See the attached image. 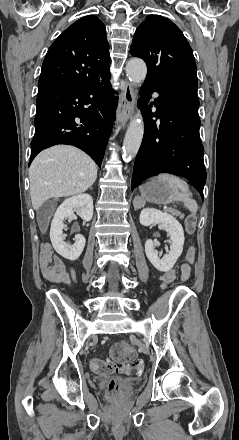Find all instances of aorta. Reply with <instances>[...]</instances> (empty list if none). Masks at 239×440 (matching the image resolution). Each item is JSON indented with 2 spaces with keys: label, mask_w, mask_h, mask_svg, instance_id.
I'll list each match as a JSON object with an SVG mask.
<instances>
[{
  "label": "aorta",
  "mask_w": 239,
  "mask_h": 440,
  "mask_svg": "<svg viewBox=\"0 0 239 440\" xmlns=\"http://www.w3.org/2000/svg\"><path fill=\"white\" fill-rule=\"evenodd\" d=\"M126 74L133 84H140L145 80L147 66L140 58H132L126 64ZM144 134V124L140 112L131 120L123 142V152L126 160L135 158L142 142Z\"/></svg>",
  "instance_id": "762f6f07"
}]
</instances>
